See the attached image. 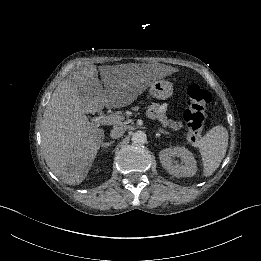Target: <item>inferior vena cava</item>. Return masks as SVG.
<instances>
[{
  "label": "inferior vena cava",
  "mask_w": 261,
  "mask_h": 261,
  "mask_svg": "<svg viewBox=\"0 0 261 261\" xmlns=\"http://www.w3.org/2000/svg\"><path fill=\"white\" fill-rule=\"evenodd\" d=\"M124 132H125V126L117 125L111 129L110 137L112 139H117V138L121 137L124 134Z\"/></svg>",
  "instance_id": "602c4592"
}]
</instances>
